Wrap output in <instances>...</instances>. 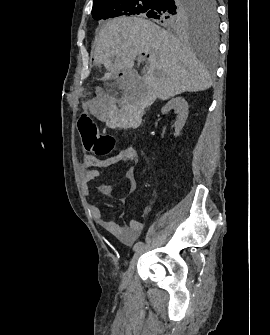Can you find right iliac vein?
Instances as JSON below:
<instances>
[{"label": "right iliac vein", "mask_w": 270, "mask_h": 335, "mask_svg": "<svg viewBox=\"0 0 270 335\" xmlns=\"http://www.w3.org/2000/svg\"><path fill=\"white\" fill-rule=\"evenodd\" d=\"M148 249V245H143L141 248L137 249L130 261V264L128 266V269L126 270V272L123 275L122 278V285L123 286H127L128 283L130 282V279L133 275V270L134 267L136 265L137 260L139 259V257Z\"/></svg>", "instance_id": "obj_1"}]
</instances>
